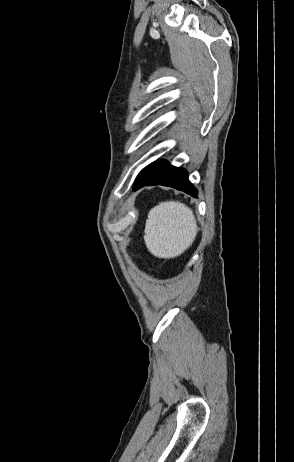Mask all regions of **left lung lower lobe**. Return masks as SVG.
Here are the masks:
<instances>
[{"instance_id": "left-lung-lower-lobe-1", "label": "left lung lower lobe", "mask_w": 294, "mask_h": 462, "mask_svg": "<svg viewBox=\"0 0 294 462\" xmlns=\"http://www.w3.org/2000/svg\"><path fill=\"white\" fill-rule=\"evenodd\" d=\"M150 185L170 186L197 197V190L188 180L187 171L171 166L166 161L154 162L142 171L136 178L133 190Z\"/></svg>"}]
</instances>
